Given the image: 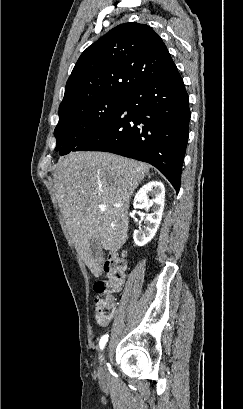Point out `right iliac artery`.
Masks as SVG:
<instances>
[{"label": "right iliac artery", "mask_w": 243, "mask_h": 409, "mask_svg": "<svg viewBox=\"0 0 243 409\" xmlns=\"http://www.w3.org/2000/svg\"><path fill=\"white\" fill-rule=\"evenodd\" d=\"M108 341V335L102 336L100 339V348L103 349Z\"/></svg>", "instance_id": "82829eb1"}]
</instances>
